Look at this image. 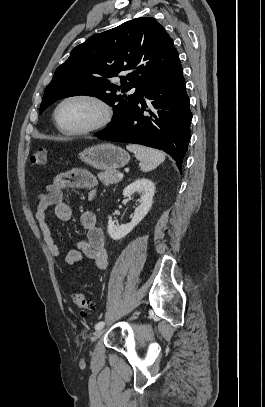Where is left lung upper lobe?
<instances>
[{
	"mask_svg": "<svg viewBox=\"0 0 265 407\" xmlns=\"http://www.w3.org/2000/svg\"><path fill=\"white\" fill-rule=\"evenodd\" d=\"M180 65L172 39L154 18L127 21L90 37L71 51L45 89L39 113L64 97L95 96L114 108L105 133L130 115L151 83ZM120 72L124 76L116 82ZM133 87L135 92L127 94Z\"/></svg>",
	"mask_w": 265,
	"mask_h": 407,
	"instance_id": "5c2ea615",
	"label": "left lung upper lobe"
}]
</instances>
